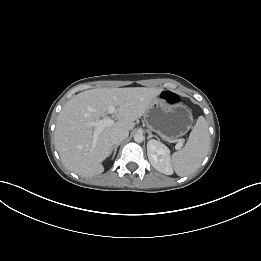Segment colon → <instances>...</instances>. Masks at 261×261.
<instances>
[{"instance_id": "1", "label": "colon", "mask_w": 261, "mask_h": 261, "mask_svg": "<svg viewBox=\"0 0 261 261\" xmlns=\"http://www.w3.org/2000/svg\"><path fill=\"white\" fill-rule=\"evenodd\" d=\"M161 98L169 104H175L179 101V97L171 91H164L161 94Z\"/></svg>"}]
</instances>
